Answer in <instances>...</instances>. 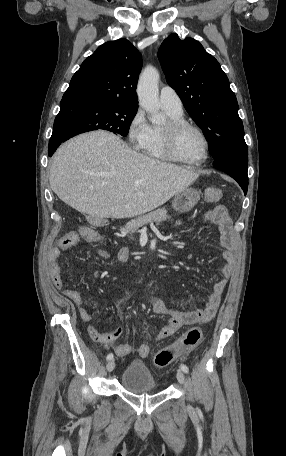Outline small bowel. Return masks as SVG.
Here are the masks:
<instances>
[{
  "label": "small bowel",
  "mask_w": 286,
  "mask_h": 456,
  "mask_svg": "<svg viewBox=\"0 0 286 456\" xmlns=\"http://www.w3.org/2000/svg\"><path fill=\"white\" fill-rule=\"evenodd\" d=\"M206 220L215 222L219 225L221 231V243L224 248L223 259L225 265L221 268L223 278L214 283L213 289L206 304L195 311H184L178 308L169 306L163 300H155L153 302V311L158 315L167 316L169 318L167 324L160 330L157 335L158 340L165 339L174 334L183 325L203 324L210 321L216 314L219 307L221 296L226 288L228 280L233 274L235 264V238L232 229V221L227 213V209L218 205L204 214ZM184 220L180 221L183 224ZM88 234H78L70 232L62 236L58 241V246L50 252V276L53 284L60 290L67 299H69L78 309L81 319L84 322L92 320V314L86 307L82 295L79 291L64 286L62 281L59 266L61 252L75 245L80 238L87 242L100 243L102 240L101 234L93 229H90ZM97 254L103 258L115 257L118 261L127 263L130 260L131 252L126 247H120L114 254L106 249H98ZM88 333L96 342L104 345L114 343L123 333L121 327H116L107 331H99L93 326L88 328ZM147 345L150 350V345ZM114 351L117 356L125 357L132 352V347L128 344H119L114 346Z\"/></svg>",
  "instance_id": "c3829d8e"
}]
</instances>
